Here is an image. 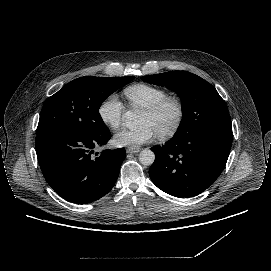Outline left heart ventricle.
Wrapping results in <instances>:
<instances>
[{"instance_id":"1","label":"left heart ventricle","mask_w":271,"mask_h":271,"mask_svg":"<svg viewBox=\"0 0 271 271\" xmlns=\"http://www.w3.org/2000/svg\"><path fill=\"white\" fill-rule=\"evenodd\" d=\"M176 108L173 105L167 106L156 115H149L142 112L139 120V125H148L152 128L155 134L168 129L176 118Z\"/></svg>"}]
</instances>
